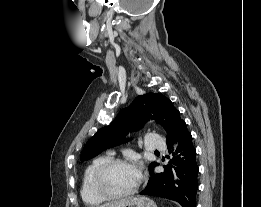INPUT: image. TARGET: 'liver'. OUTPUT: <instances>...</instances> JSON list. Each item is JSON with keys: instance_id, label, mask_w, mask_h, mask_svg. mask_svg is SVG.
I'll use <instances>...</instances> for the list:
<instances>
[{"instance_id": "6515ba94", "label": "liver", "mask_w": 261, "mask_h": 207, "mask_svg": "<svg viewBox=\"0 0 261 207\" xmlns=\"http://www.w3.org/2000/svg\"><path fill=\"white\" fill-rule=\"evenodd\" d=\"M108 205H109V203H108V204L101 205V206H99V207H107Z\"/></svg>"}]
</instances>
